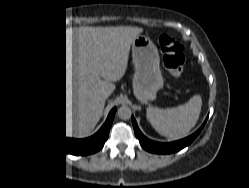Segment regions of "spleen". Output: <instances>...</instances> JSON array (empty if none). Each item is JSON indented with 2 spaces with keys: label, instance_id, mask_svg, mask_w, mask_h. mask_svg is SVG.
Returning a JSON list of instances; mask_svg holds the SVG:
<instances>
[{
  "label": "spleen",
  "instance_id": "1",
  "mask_svg": "<svg viewBox=\"0 0 249 188\" xmlns=\"http://www.w3.org/2000/svg\"><path fill=\"white\" fill-rule=\"evenodd\" d=\"M201 106V97L195 95L186 104L174 108L159 109L149 106L146 116L160 134L170 139H180L187 136L196 125Z\"/></svg>",
  "mask_w": 249,
  "mask_h": 188
}]
</instances>
